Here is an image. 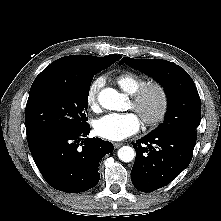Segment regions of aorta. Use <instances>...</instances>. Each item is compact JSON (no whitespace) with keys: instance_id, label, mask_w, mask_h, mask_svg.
<instances>
[{"instance_id":"1","label":"aorta","mask_w":221,"mask_h":221,"mask_svg":"<svg viewBox=\"0 0 221 221\" xmlns=\"http://www.w3.org/2000/svg\"><path fill=\"white\" fill-rule=\"evenodd\" d=\"M125 100V95L113 88H105L98 95L100 105L108 110H122ZM134 157L135 151L130 146H123L118 150V158L123 162H131Z\"/></svg>"}]
</instances>
